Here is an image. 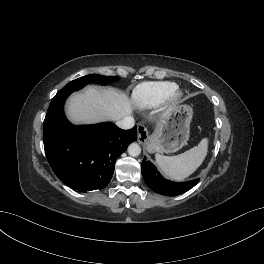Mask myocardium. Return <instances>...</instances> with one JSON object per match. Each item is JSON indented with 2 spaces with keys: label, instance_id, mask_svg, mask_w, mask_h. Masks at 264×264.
<instances>
[{
  "label": "myocardium",
  "instance_id": "f54148a6",
  "mask_svg": "<svg viewBox=\"0 0 264 264\" xmlns=\"http://www.w3.org/2000/svg\"><path fill=\"white\" fill-rule=\"evenodd\" d=\"M183 97V92L179 89H175L168 98L164 101L168 106H173L179 101H181Z\"/></svg>",
  "mask_w": 264,
  "mask_h": 264
}]
</instances>
